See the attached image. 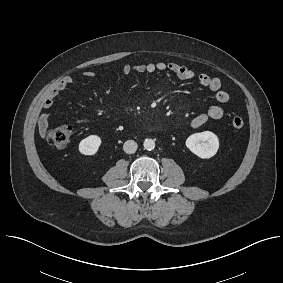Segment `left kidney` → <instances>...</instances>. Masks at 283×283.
Returning <instances> with one entry per match:
<instances>
[{
	"instance_id": "obj_1",
	"label": "left kidney",
	"mask_w": 283,
	"mask_h": 283,
	"mask_svg": "<svg viewBox=\"0 0 283 283\" xmlns=\"http://www.w3.org/2000/svg\"><path fill=\"white\" fill-rule=\"evenodd\" d=\"M186 147L198 157L209 159L217 153L219 139L210 131L194 133L187 138Z\"/></svg>"
}]
</instances>
